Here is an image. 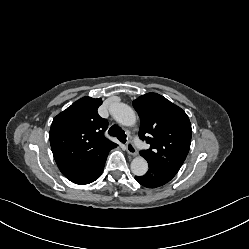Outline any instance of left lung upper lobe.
I'll return each instance as SVG.
<instances>
[{
	"label": "left lung upper lobe",
	"instance_id": "left-lung-upper-lobe-1",
	"mask_svg": "<svg viewBox=\"0 0 249 249\" xmlns=\"http://www.w3.org/2000/svg\"><path fill=\"white\" fill-rule=\"evenodd\" d=\"M140 116L139 137L150 144L140 151L149 166L176 175L190 149L192 129L187 114L157 93L133 101Z\"/></svg>",
	"mask_w": 249,
	"mask_h": 249
}]
</instances>
